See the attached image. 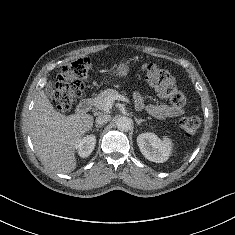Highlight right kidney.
I'll list each match as a JSON object with an SVG mask.
<instances>
[{"mask_svg":"<svg viewBox=\"0 0 235 235\" xmlns=\"http://www.w3.org/2000/svg\"><path fill=\"white\" fill-rule=\"evenodd\" d=\"M96 144V138L94 135H87L84 138H81L75 143V148L78 151V154L82 158L88 157L94 150Z\"/></svg>","mask_w":235,"mask_h":235,"instance_id":"ca27d5eb","label":"right kidney"}]
</instances>
